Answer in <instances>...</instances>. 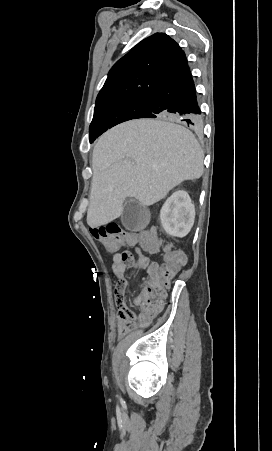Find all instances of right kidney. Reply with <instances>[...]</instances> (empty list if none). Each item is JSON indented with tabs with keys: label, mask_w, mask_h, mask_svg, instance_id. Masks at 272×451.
<instances>
[{
	"label": "right kidney",
	"mask_w": 272,
	"mask_h": 451,
	"mask_svg": "<svg viewBox=\"0 0 272 451\" xmlns=\"http://www.w3.org/2000/svg\"><path fill=\"white\" fill-rule=\"evenodd\" d=\"M160 220L166 233L184 237L193 227L195 206L184 190L174 192L160 210Z\"/></svg>",
	"instance_id": "1"
}]
</instances>
